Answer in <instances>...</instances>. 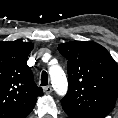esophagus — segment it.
<instances>
[{"mask_svg":"<svg viewBox=\"0 0 118 118\" xmlns=\"http://www.w3.org/2000/svg\"><path fill=\"white\" fill-rule=\"evenodd\" d=\"M45 94H50L52 92V87L51 86H45L43 88Z\"/></svg>","mask_w":118,"mask_h":118,"instance_id":"esophagus-1","label":"esophagus"}]
</instances>
